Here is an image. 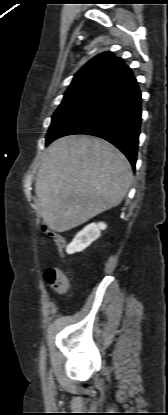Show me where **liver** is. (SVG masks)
<instances>
[{
    "label": "liver",
    "instance_id": "1",
    "mask_svg": "<svg viewBox=\"0 0 168 415\" xmlns=\"http://www.w3.org/2000/svg\"><path fill=\"white\" fill-rule=\"evenodd\" d=\"M133 174L123 153L109 142L88 135L54 141L35 182L41 216L47 227L65 232L118 206Z\"/></svg>",
    "mask_w": 168,
    "mask_h": 415
}]
</instances>
